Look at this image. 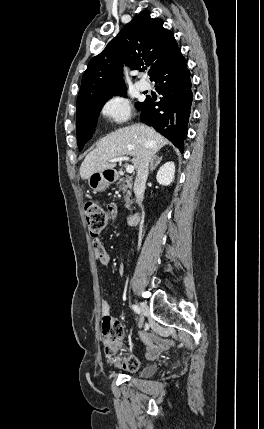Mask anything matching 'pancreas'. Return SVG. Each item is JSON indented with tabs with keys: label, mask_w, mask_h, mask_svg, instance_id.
<instances>
[{
	"label": "pancreas",
	"mask_w": 264,
	"mask_h": 429,
	"mask_svg": "<svg viewBox=\"0 0 264 429\" xmlns=\"http://www.w3.org/2000/svg\"><path fill=\"white\" fill-rule=\"evenodd\" d=\"M117 186L118 189L120 191L123 192L124 194V200H125V207L129 208L132 200H131V196H132V182L130 178H121L119 179V181L117 182Z\"/></svg>",
	"instance_id": "obj_1"
}]
</instances>
